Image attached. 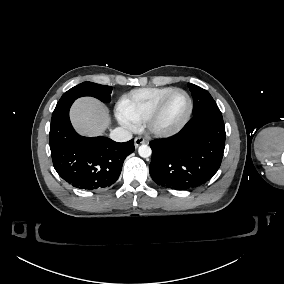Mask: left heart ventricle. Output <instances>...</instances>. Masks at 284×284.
Listing matches in <instances>:
<instances>
[{
	"instance_id": "left-heart-ventricle-1",
	"label": "left heart ventricle",
	"mask_w": 284,
	"mask_h": 284,
	"mask_svg": "<svg viewBox=\"0 0 284 284\" xmlns=\"http://www.w3.org/2000/svg\"><path fill=\"white\" fill-rule=\"evenodd\" d=\"M189 103L186 94L182 91L171 95L161 113L154 120V128L160 131H167L177 127L185 118Z\"/></svg>"
}]
</instances>
